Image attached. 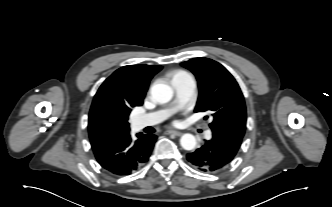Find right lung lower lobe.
Here are the masks:
<instances>
[{
  "label": "right lung lower lobe",
  "mask_w": 332,
  "mask_h": 207,
  "mask_svg": "<svg viewBox=\"0 0 332 207\" xmlns=\"http://www.w3.org/2000/svg\"><path fill=\"white\" fill-rule=\"evenodd\" d=\"M133 140L130 133L109 144L93 148L98 163L112 174L130 175L145 163L157 136L138 133Z\"/></svg>",
  "instance_id": "obj_1"
}]
</instances>
